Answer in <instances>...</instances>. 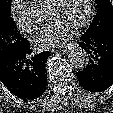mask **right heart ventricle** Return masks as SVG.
Masks as SVG:
<instances>
[{"label": "right heart ventricle", "instance_id": "e07e8e85", "mask_svg": "<svg viewBox=\"0 0 113 113\" xmlns=\"http://www.w3.org/2000/svg\"><path fill=\"white\" fill-rule=\"evenodd\" d=\"M52 0H28V2L40 13L42 14L43 12L46 11L49 3Z\"/></svg>", "mask_w": 113, "mask_h": 113}]
</instances>
